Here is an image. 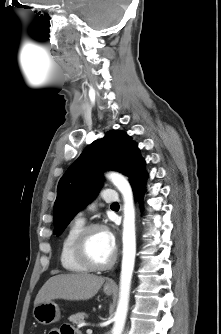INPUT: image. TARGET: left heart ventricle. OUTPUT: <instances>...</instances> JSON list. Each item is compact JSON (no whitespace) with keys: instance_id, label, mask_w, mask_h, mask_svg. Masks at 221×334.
Here are the masks:
<instances>
[{"instance_id":"1","label":"left heart ventricle","mask_w":221,"mask_h":334,"mask_svg":"<svg viewBox=\"0 0 221 334\" xmlns=\"http://www.w3.org/2000/svg\"><path fill=\"white\" fill-rule=\"evenodd\" d=\"M114 249L109 243L106 231L96 230L91 234L88 241V252L95 262L101 264L108 262Z\"/></svg>"}]
</instances>
